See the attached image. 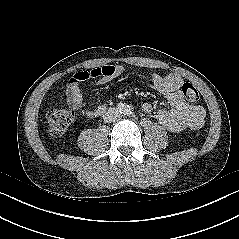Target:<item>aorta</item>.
Listing matches in <instances>:
<instances>
[{
  "instance_id": "aorta-1",
  "label": "aorta",
  "mask_w": 239,
  "mask_h": 239,
  "mask_svg": "<svg viewBox=\"0 0 239 239\" xmlns=\"http://www.w3.org/2000/svg\"><path fill=\"white\" fill-rule=\"evenodd\" d=\"M129 111L127 110V111H124V114H127Z\"/></svg>"
}]
</instances>
